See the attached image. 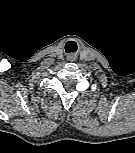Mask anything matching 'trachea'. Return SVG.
<instances>
[{"label":"trachea","mask_w":135,"mask_h":153,"mask_svg":"<svg viewBox=\"0 0 135 153\" xmlns=\"http://www.w3.org/2000/svg\"><path fill=\"white\" fill-rule=\"evenodd\" d=\"M69 43L71 44V43H73V41H69L67 44H69ZM66 47H67V45H66Z\"/></svg>","instance_id":"1"}]
</instances>
